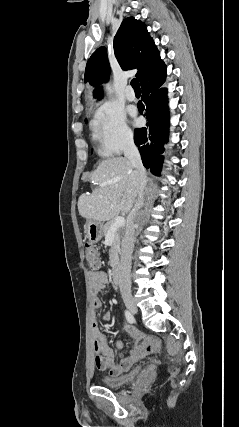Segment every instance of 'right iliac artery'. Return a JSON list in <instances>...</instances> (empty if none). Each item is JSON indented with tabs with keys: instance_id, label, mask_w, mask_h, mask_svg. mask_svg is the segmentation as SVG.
I'll list each match as a JSON object with an SVG mask.
<instances>
[{
	"instance_id": "obj_1",
	"label": "right iliac artery",
	"mask_w": 239,
	"mask_h": 427,
	"mask_svg": "<svg viewBox=\"0 0 239 427\" xmlns=\"http://www.w3.org/2000/svg\"><path fill=\"white\" fill-rule=\"evenodd\" d=\"M125 316H126V319L129 323L134 322V317L128 310L125 311Z\"/></svg>"
}]
</instances>
